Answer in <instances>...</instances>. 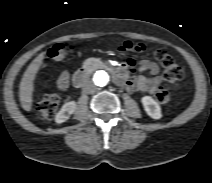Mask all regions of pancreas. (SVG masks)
Wrapping results in <instances>:
<instances>
[{"instance_id":"1","label":"pancreas","mask_w":212,"mask_h":183,"mask_svg":"<svg viewBox=\"0 0 212 183\" xmlns=\"http://www.w3.org/2000/svg\"><path fill=\"white\" fill-rule=\"evenodd\" d=\"M97 61L98 59L90 58L84 62V65L87 66L89 64L96 63Z\"/></svg>"}]
</instances>
